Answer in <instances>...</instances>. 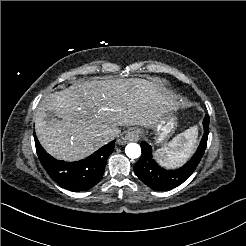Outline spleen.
Masks as SVG:
<instances>
[{"label": "spleen", "mask_w": 246, "mask_h": 246, "mask_svg": "<svg viewBox=\"0 0 246 246\" xmlns=\"http://www.w3.org/2000/svg\"><path fill=\"white\" fill-rule=\"evenodd\" d=\"M198 128L190 127L175 136L167 145L156 151L159 163L167 168H176L184 164L192 154L197 142Z\"/></svg>", "instance_id": "spleen-1"}]
</instances>
